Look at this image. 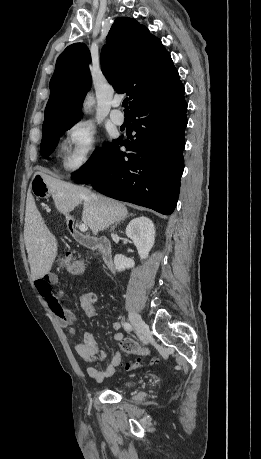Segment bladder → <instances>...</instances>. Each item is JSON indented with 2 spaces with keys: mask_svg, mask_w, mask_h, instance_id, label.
<instances>
[{
  "mask_svg": "<svg viewBox=\"0 0 261 459\" xmlns=\"http://www.w3.org/2000/svg\"><path fill=\"white\" fill-rule=\"evenodd\" d=\"M132 383L131 382H124L122 385L123 386H130Z\"/></svg>",
  "mask_w": 261,
  "mask_h": 459,
  "instance_id": "1",
  "label": "bladder"
}]
</instances>
